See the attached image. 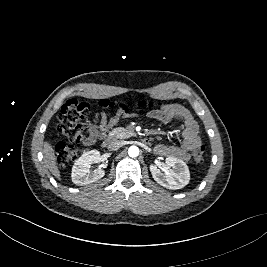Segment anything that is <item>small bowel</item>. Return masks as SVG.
<instances>
[{
    "label": "small bowel",
    "mask_w": 267,
    "mask_h": 267,
    "mask_svg": "<svg viewBox=\"0 0 267 267\" xmlns=\"http://www.w3.org/2000/svg\"><path fill=\"white\" fill-rule=\"evenodd\" d=\"M128 115V108L124 104L120 105L117 114L109 120H107L105 114L96 115L93 124L88 129L86 143H95L99 138L105 135L109 128L115 126L122 117ZM150 117L164 123L176 121L183 125L181 144H159L154 148L156 155L188 160L190 152L201 144L198 123L185 106L181 104H166L159 109L151 111Z\"/></svg>",
    "instance_id": "c3829d8e"
}]
</instances>
